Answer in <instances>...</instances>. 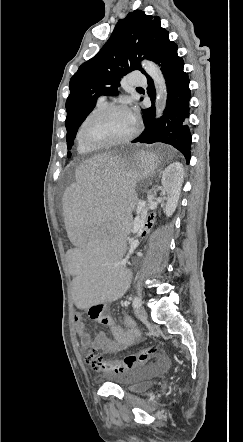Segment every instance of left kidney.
Instances as JSON below:
<instances>
[{
	"instance_id": "5707ae66",
	"label": "left kidney",
	"mask_w": 243,
	"mask_h": 442,
	"mask_svg": "<svg viewBox=\"0 0 243 442\" xmlns=\"http://www.w3.org/2000/svg\"><path fill=\"white\" fill-rule=\"evenodd\" d=\"M183 176L184 168L180 162L170 164L163 172L162 185L168 195L164 209L167 217H170L177 208Z\"/></svg>"
}]
</instances>
